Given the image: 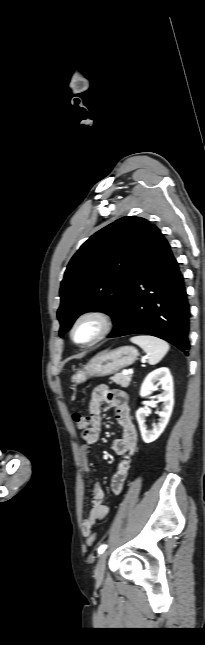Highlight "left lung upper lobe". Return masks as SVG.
<instances>
[{"instance_id":"obj_1","label":"left lung upper lobe","mask_w":205,"mask_h":645,"mask_svg":"<svg viewBox=\"0 0 205 645\" xmlns=\"http://www.w3.org/2000/svg\"><path fill=\"white\" fill-rule=\"evenodd\" d=\"M149 226L144 218L123 217L83 243L61 282L57 312L61 337L87 311L107 313L117 328L129 271Z\"/></svg>"}]
</instances>
